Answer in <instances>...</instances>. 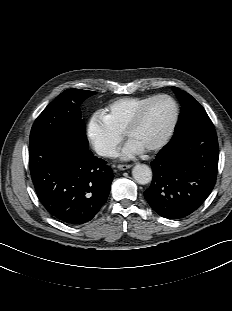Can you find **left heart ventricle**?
<instances>
[{"mask_svg": "<svg viewBox=\"0 0 232 311\" xmlns=\"http://www.w3.org/2000/svg\"><path fill=\"white\" fill-rule=\"evenodd\" d=\"M173 106L166 99L153 102L146 110L141 122L129 135L143 149L156 143L167 130L172 117Z\"/></svg>", "mask_w": 232, "mask_h": 311, "instance_id": "1", "label": "left heart ventricle"}]
</instances>
